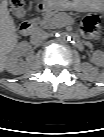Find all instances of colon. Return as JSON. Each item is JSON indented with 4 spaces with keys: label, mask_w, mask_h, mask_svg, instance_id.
I'll return each instance as SVG.
<instances>
[{
    "label": "colon",
    "mask_w": 104,
    "mask_h": 137,
    "mask_svg": "<svg viewBox=\"0 0 104 137\" xmlns=\"http://www.w3.org/2000/svg\"><path fill=\"white\" fill-rule=\"evenodd\" d=\"M11 9L16 10L22 6V0H8ZM100 20L96 14H88L83 21V31L87 36H93L98 32Z\"/></svg>",
    "instance_id": "obj_1"
}]
</instances>
